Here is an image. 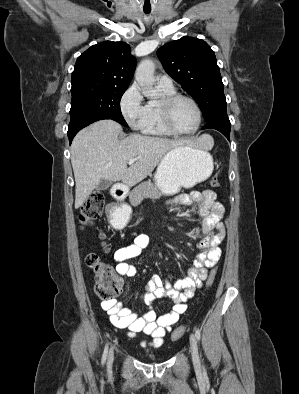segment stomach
<instances>
[{
    "instance_id": "0dacf381",
    "label": "stomach",
    "mask_w": 299,
    "mask_h": 394,
    "mask_svg": "<svg viewBox=\"0 0 299 394\" xmlns=\"http://www.w3.org/2000/svg\"><path fill=\"white\" fill-rule=\"evenodd\" d=\"M213 171V159L203 150L182 145L171 149L159 163L154 174L156 187L173 195L181 187L190 188L205 181Z\"/></svg>"
}]
</instances>
